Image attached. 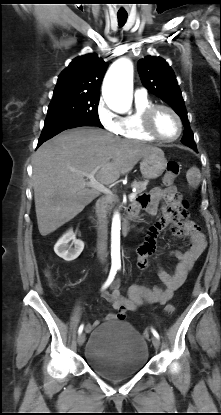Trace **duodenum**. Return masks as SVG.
<instances>
[{"label": "duodenum", "mask_w": 221, "mask_h": 415, "mask_svg": "<svg viewBox=\"0 0 221 415\" xmlns=\"http://www.w3.org/2000/svg\"><path fill=\"white\" fill-rule=\"evenodd\" d=\"M137 210L134 206H130L127 209L126 215L122 221V232L123 234H129L131 231V224L133 219L136 217L137 215Z\"/></svg>", "instance_id": "duodenum-1"}]
</instances>
